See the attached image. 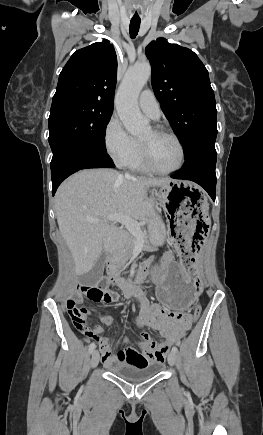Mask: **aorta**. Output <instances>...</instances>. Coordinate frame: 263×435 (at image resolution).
<instances>
[{"instance_id":"762f6f07","label":"aorta","mask_w":263,"mask_h":435,"mask_svg":"<svg viewBox=\"0 0 263 435\" xmlns=\"http://www.w3.org/2000/svg\"><path fill=\"white\" fill-rule=\"evenodd\" d=\"M151 76L149 63L128 69L117 94L116 109L126 130L133 136H141L150 130L148 120L138 107V96Z\"/></svg>"}]
</instances>
